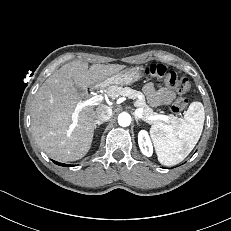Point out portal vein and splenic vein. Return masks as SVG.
Returning a JSON list of instances; mask_svg holds the SVG:
<instances>
[{"instance_id": "portal-vein-and-splenic-vein-1", "label": "portal vein and splenic vein", "mask_w": 231, "mask_h": 231, "mask_svg": "<svg viewBox=\"0 0 231 231\" xmlns=\"http://www.w3.org/2000/svg\"><path fill=\"white\" fill-rule=\"evenodd\" d=\"M104 100V97L102 95H96L93 96L85 101H83L82 105L77 107L73 113V124L71 126V128H74V126L77 124V119H78V115H79V111L82 107L84 106H90V105H98L99 102H102ZM135 114L139 117L143 119V115H142V109H137L135 111ZM148 119L150 120H163V121H168V116L166 115H154L149 117Z\"/></svg>"}]
</instances>
